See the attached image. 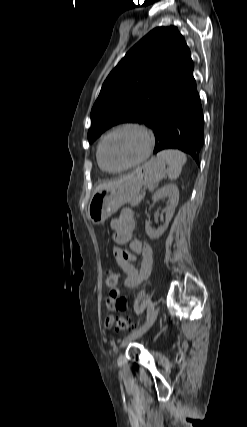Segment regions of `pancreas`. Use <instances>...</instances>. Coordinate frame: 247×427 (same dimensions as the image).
<instances>
[{"mask_svg":"<svg viewBox=\"0 0 247 427\" xmlns=\"http://www.w3.org/2000/svg\"><path fill=\"white\" fill-rule=\"evenodd\" d=\"M144 193L136 196L134 199L130 201L131 206H138V204L143 200Z\"/></svg>","mask_w":247,"mask_h":427,"instance_id":"obj_1","label":"pancreas"}]
</instances>
